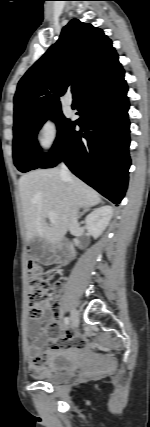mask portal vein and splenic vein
<instances>
[{
  "label": "portal vein and splenic vein",
  "instance_id": "1",
  "mask_svg": "<svg viewBox=\"0 0 150 427\" xmlns=\"http://www.w3.org/2000/svg\"><path fill=\"white\" fill-rule=\"evenodd\" d=\"M47 216H48V218H49V220H50V222L52 223V224H55L56 223V220H57V218H56V213L54 212V211H49L48 213H47Z\"/></svg>",
  "mask_w": 150,
  "mask_h": 427
}]
</instances>
